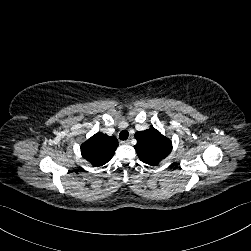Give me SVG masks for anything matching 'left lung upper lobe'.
<instances>
[{
    "label": "left lung upper lobe",
    "mask_w": 251,
    "mask_h": 251,
    "mask_svg": "<svg viewBox=\"0 0 251 251\" xmlns=\"http://www.w3.org/2000/svg\"><path fill=\"white\" fill-rule=\"evenodd\" d=\"M134 146L139 159L151 166H157L172 150V142L155 128L135 133Z\"/></svg>",
    "instance_id": "left-lung-upper-lobe-1"
}]
</instances>
